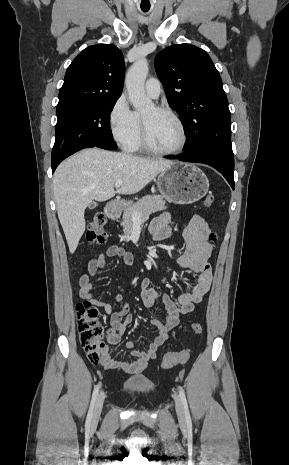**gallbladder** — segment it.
Returning a JSON list of instances; mask_svg holds the SVG:
<instances>
[{
    "label": "gallbladder",
    "mask_w": 289,
    "mask_h": 465,
    "mask_svg": "<svg viewBox=\"0 0 289 465\" xmlns=\"http://www.w3.org/2000/svg\"><path fill=\"white\" fill-rule=\"evenodd\" d=\"M95 206H96V203H95V202H91V203L89 204V208H91V209L94 208Z\"/></svg>",
    "instance_id": "gallbladder-1"
}]
</instances>
